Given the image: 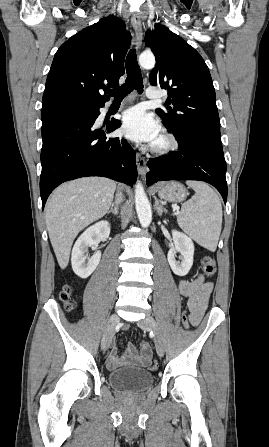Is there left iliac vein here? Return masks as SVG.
<instances>
[{
    "label": "left iliac vein",
    "mask_w": 269,
    "mask_h": 447,
    "mask_svg": "<svg viewBox=\"0 0 269 447\" xmlns=\"http://www.w3.org/2000/svg\"><path fill=\"white\" fill-rule=\"evenodd\" d=\"M138 325L141 328H148L149 330L154 332L155 334L154 341L156 345V350L158 355L162 356L164 353V341L161 329L159 328L157 321L152 316L147 315L138 322Z\"/></svg>",
    "instance_id": "obj_1"
}]
</instances>
